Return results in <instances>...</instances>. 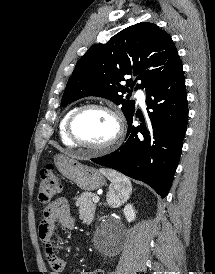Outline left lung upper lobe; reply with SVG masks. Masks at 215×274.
<instances>
[{
	"label": "left lung upper lobe",
	"mask_w": 215,
	"mask_h": 274,
	"mask_svg": "<svg viewBox=\"0 0 215 274\" xmlns=\"http://www.w3.org/2000/svg\"><path fill=\"white\" fill-rule=\"evenodd\" d=\"M182 66L171 36L153 23L141 22L114 35L105 44H95L78 60L66 85L61 106L87 96H98L122 105L129 118L135 102L124 98L131 92L119 82L127 79L132 89L159 84Z\"/></svg>",
	"instance_id": "5c2ea615"
}]
</instances>
